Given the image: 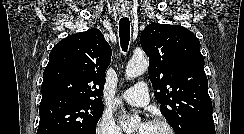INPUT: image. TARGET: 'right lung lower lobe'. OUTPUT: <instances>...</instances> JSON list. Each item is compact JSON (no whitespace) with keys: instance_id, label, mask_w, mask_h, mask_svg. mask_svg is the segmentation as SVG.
Masks as SVG:
<instances>
[{"instance_id":"1","label":"right lung lower lobe","mask_w":244,"mask_h":134,"mask_svg":"<svg viewBox=\"0 0 244 134\" xmlns=\"http://www.w3.org/2000/svg\"><path fill=\"white\" fill-rule=\"evenodd\" d=\"M56 134H78V133L71 132V131H63V132H59V133H56Z\"/></svg>"}]
</instances>
